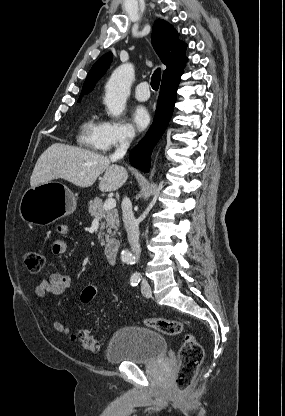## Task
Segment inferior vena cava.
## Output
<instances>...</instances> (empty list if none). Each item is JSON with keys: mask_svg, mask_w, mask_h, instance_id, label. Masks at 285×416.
Returning <instances> with one entry per match:
<instances>
[{"mask_svg": "<svg viewBox=\"0 0 285 416\" xmlns=\"http://www.w3.org/2000/svg\"><path fill=\"white\" fill-rule=\"evenodd\" d=\"M132 138L124 132L122 134L118 148H116L114 154H111L109 156L111 162H117V160H121L123 156H125L131 142ZM122 216H123V222L124 226L126 228V232L128 234V242L132 248V252L135 254L136 260H139V256L141 254L140 246H139V222L135 220L134 214L132 212V204L129 200V198H123L122 204Z\"/></svg>", "mask_w": 285, "mask_h": 416, "instance_id": "1", "label": "inferior vena cava"}]
</instances>
